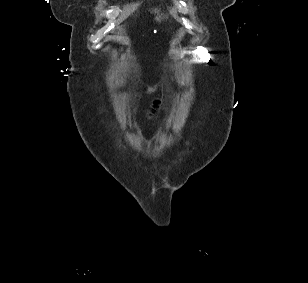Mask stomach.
<instances>
[{"label":"stomach","mask_w":308,"mask_h":283,"mask_svg":"<svg viewBox=\"0 0 308 283\" xmlns=\"http://www.w3.org/2000/svg\"><path fill=\"white\" fill-rule=\"evenodd\" d=\"M156 20H157V21H160V20H161V17H156Z\"/></svg>","instance_id":"0dacf381"}]
</instances>
